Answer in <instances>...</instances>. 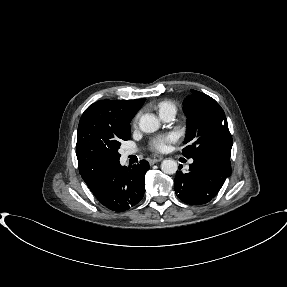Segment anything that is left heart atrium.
I'll list each match as a JSON object with an SVG mask.
<instances>
[{
	"instance_id": "39dd6f15",
	"label": "left heart atrium",
	"mask_w": 287,
	"mask_h": 287,
	"mask_svg": "<svg viewBox=\"0 0 287 287\" xmlns=\"http://www.w3.org/2000/svg\"><path fill=\"white\" fill-rule=\"evenodd\" d=\"M177 139L173 133L159 135L151 141V149L156 152H164L168 149L169 144L175 142Z\"/></svg>"
}]
</instances>
